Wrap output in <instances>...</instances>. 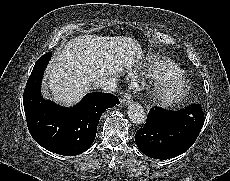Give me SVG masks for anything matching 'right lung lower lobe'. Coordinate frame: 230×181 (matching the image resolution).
Here are the masks:
<instances>
[{"label": "right lung lower lobe", "instance_id": "1", "mask_svg": "<svg viewBox=\"0 0 230 181\" xmlns=\"http://www.w3.org/2000/svg\"><path fill=\"white\" fill-rule=\"evenodd\" d=\"M51 56L52 53H46L35 63L24 90L28 129L45 149L64 156L78 155L90 148L102 113L119 104V99L109 93L93 92L71 108L44 100L40 85Z\"/></svg>", "mask_w": 230, "mask_h": 181}]
</instances>
